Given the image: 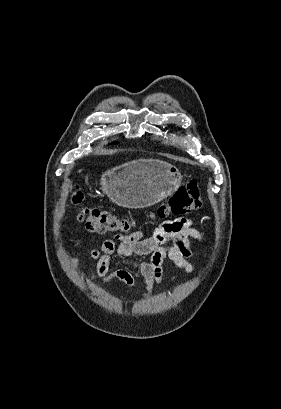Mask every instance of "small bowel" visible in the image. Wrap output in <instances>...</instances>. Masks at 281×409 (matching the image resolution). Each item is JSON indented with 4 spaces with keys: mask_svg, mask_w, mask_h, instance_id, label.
Instances as JSON below:
<instances>
[{
    "mask_svg": "<svg viewBox=\"0 0 281 409\" xmlns=\"http://www.w3.org/2000/svg\"><path fill=\"white\" fill-rule=\"evenodd\" d=\"M200 232L188 218H177L162 222L150 235L143 231H134L126 235H116L102 242L100 248L91 251L96 260L95 276L103 283L119 281L128 287H134L135 278L126 269L110 270L111 258L115 254L136 269L144 278L146 296H149L155 285L163 281V263L170 260L177 267L189 272L192 265L190 239H200ZM133 256H149L148 261L131 260ZM74 264L78 257H73Z\"/></svg>",
    "mask_w": 281,
    "mask_h": 409,
    "instance_id": "obj_1",
    "label": "small bowel"
}]
</instances>
